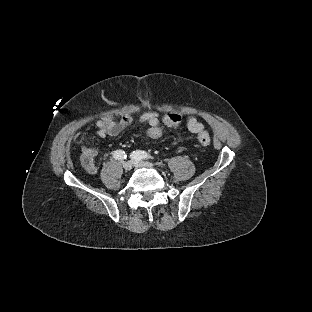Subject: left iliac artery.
<instances>
[{"instance_id": "1", "label": "left iliac artery", "mask_w": 312, "mask_h": 312, "mask_svg": "<svg viewBox=\"0 0 312 312\" xmlns=\"http://www.w3.org/2000/svg\"><path fill=\"white\" fill-rule=\"evenodd\" d=\"M130 156L132 159H136V160L153 158L151 154L142 150L134 151Z\"/></svg>"}]
</instances>
